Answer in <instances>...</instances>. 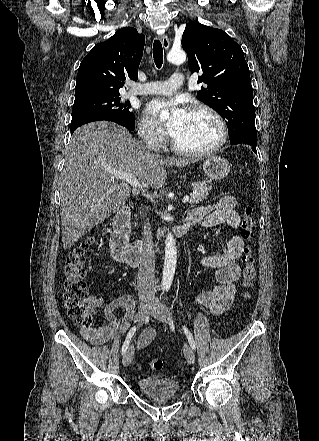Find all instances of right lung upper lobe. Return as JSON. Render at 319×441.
I'll list each match as a JSON object with an SVG mask.
<instances>
[{
  "instance_id": "obj_1",
  "label": "right lung upper lobe",
  "mask_w": 319,
  "mask_h": 441,
  "mask_svg": "<svg viewBox=\"0 0 319 441\" xmlns=\"http://www.w3.org/2000/svg\"><path fill=\"white\" fill-rule=\"evenodd\" d=\"M145 37L135 28L118 30L95 45L82 60L77 74L75 100L96 96H119L126 79L137 80Z\"/></svg>"
}]
</instances>
